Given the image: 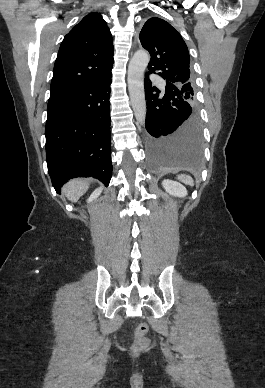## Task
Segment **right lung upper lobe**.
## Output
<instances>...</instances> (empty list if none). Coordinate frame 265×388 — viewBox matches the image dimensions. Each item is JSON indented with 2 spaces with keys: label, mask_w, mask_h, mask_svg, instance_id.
I'll list each match as a JSON object with an SVG mask.
<instances>
[{
  "label": "right lung upper lobe",
  "mask_w": 265,
  "mask_h": 388,
  "mask_svg": "<svg viewBox=\"0 0 265 388\" xmlns=\"http://www.w3.org/2000/svg\"><path fill=\"white\" fill-rule=\"evenodd\" d=\"M113 39L100 13L86 15L64 37L54 65L51 96L111 76Z\"/></svg>",
  "instance_id": "obj_1"
}]
</instances>
